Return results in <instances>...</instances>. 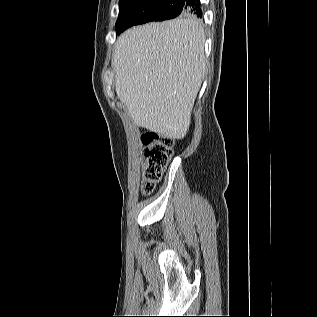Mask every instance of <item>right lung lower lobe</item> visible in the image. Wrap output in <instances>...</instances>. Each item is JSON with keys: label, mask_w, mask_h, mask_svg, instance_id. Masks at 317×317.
<instances>
[{"label": "right lung lower lobe", "mask_w": 317, "mask_h": 317, "mask_svg": "<svg viewBox=\"0 0 317 317\" xmlns=\"http://www.w3.org/2000/svg\"><path fill=\"white\" fill-rule=\"evenodd\" d=\"M178 3L183 12L202 17L200 0H178Z\"/></svg>", "instance_id": "98d812e1"}]
</instances>
